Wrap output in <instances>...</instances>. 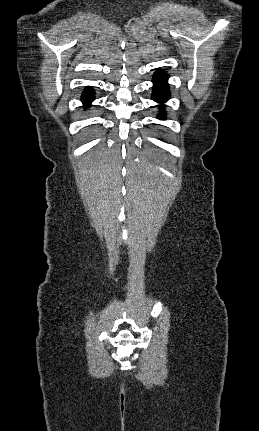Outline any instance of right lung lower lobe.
I'll list each match as a JSON object with an SVG mask.
<instances>
[{
    "label": "right lung lower lobe",
    "mask_w": 259,
    "mask_h": 431,
    "mask_svg": "<svg viewBox=\"0 0 259 431\" xmlns=\"http://www.w3.org/2000/svg\"><path fill=\"white\" fill-rule=\"evenodd\" d=\"M95 99V92L91 87L86 88L82 95V102L84 103V107H88L92 100Z\"/></svg>",
    "instance_id": "1"
}]
</instances>
